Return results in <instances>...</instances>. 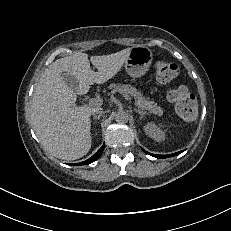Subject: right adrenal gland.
Instances as JSON below:
<instances>
[{
  "mask_svg": "<svg viewBox=\"0 0 231 231\" xmlns=\"http://www.w3.org/2000/svg\"><path fill=\"white\" fill-rule=\"evenodd\" d=\"M100 117H101V114H99V115H94V117H93V119L95 120V119H100Z\"/></svg>",
  "mask_w": 231,
  "mask_h": 231,
  "instance_id": "1",
  "label": "right adrenal gland"
}]
</instances>
